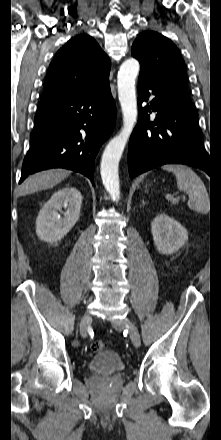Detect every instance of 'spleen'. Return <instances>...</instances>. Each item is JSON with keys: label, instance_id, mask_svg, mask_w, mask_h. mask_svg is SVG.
<instances>
[{"label": "spleen", "instance_id": "obj_1", "mask_svg": "<svg viewBox=\"0 0 221 440\" xmlns=\"http://www.w3.org/2000/svg\"><path fill=\"white\" fill-rule=\"evenodd\" d=\"M163 170L172 172L177 181V187L188 194V206L198 213L209 212V196L201 178L190 168L184 165H164Z\"/></svg>", "mask_w": 221, "mask_h": 440}]
</instances>
